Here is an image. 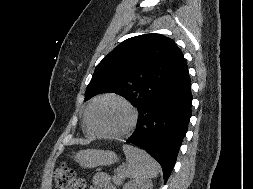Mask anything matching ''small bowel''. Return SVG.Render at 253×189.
<instances>
[{
	"label": "small bowel",
	"instance_id": "1",
	"mask_svg": "<svg viewBox=\"0 0 253 189\" xmlns=\"http://www.w3.org/2000/svg\"><path fill=\"white\" fill-rule=\"evenodd\" d=\"M91 189H116L111 183L110 177L105 172H97L92 177Z\"/></svg>",
	"mask_w": 253,
	"mask_h": 189
}]
</instances>
